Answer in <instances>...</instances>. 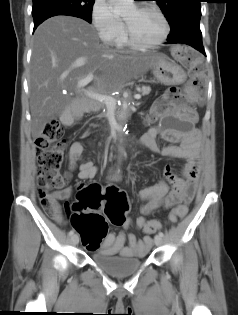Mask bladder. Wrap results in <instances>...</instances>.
Returning a JSON list of instances; mask_svg holds the SVG:
<instances>
[{"label":"bladder","mask_w":238,"mask_h":315,"mask_svg":"<svg viewBox=\"0 0 238 315\" xmlns=\"http://www.w3.org/2000/svg\"><path fill=\"white\" fill-rule=\"evenodd\" d=\"M93 263L113 276H126L132 274L143 264L141 258H128L124 256H110L94 252L91 256Z\"/></svg>","instance_id":"1"}]
</instances>
